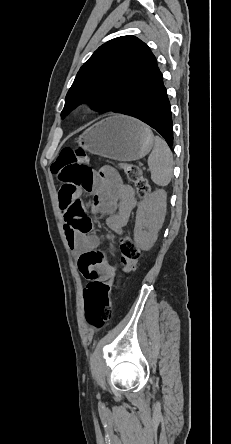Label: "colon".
Masks as SVG:
<instances>
[{"mask_svg": "<svg viewBox=\"0 0 231 444\" xmlns=\"http://www.w3.org/2000/svg\"><path fill=\"white\" fill-rule=\"evenodd\" d=\"M121 168L129 181H131L140 197L148 195L150 188L139 166L124 162ZM54 175L71 189L89 187L94 178V170L87 165L85 154L81 149L64 148L52 165ZM71 215L74 227L79 233L89 234L92 229L91 219L86 215L82 202L77 201L71 206ZM123 274L132 273L137 266L140 251L135 241L126 235L120 245ZM112 290L111 279L94 280L89 283L85 292L86 319L96 329L103 328L112 317Z\"/></svg>", "mask_w": 231, "mask_h": 444, "instance_id": "1", "label": "colon"}]
</instances>
